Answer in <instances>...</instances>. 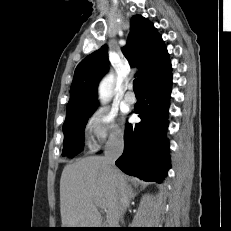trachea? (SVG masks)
<instances>
[{
	"label": "trachea",
	"instance_id": "1",
	"mask_svg": "<svg viewBox=\"0 0 231 231\" xmlns=\"http://www.w3.org/2000/svg\"><path fill=\"white\" fill-rule=\"evenodd\" d=\"M133 88L135 92H140V83H139V79H135L133 81Z\"/></svg>",
	"mask_w": 231,
	"mask_h": 231
}]
</instances>
